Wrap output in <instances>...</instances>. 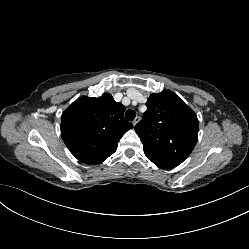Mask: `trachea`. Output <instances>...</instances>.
I'll return each instance as SVG.
<instances>
[{"label": "trachea", "mask_w": 249, "mask_h": 249, "mask_svg": "<svg viewBox=\"0 0 249 249\" xmlns=\"http://www.w3.org/2000/svg\"><path fill=\"white\" fill-rule=\"evenodd\" d=\"M136 117V113L133 110H127L125 113V118L128 121H133L134 118Z\"/></svg>", "instance_id": "trachea-1"}]
</instances>
